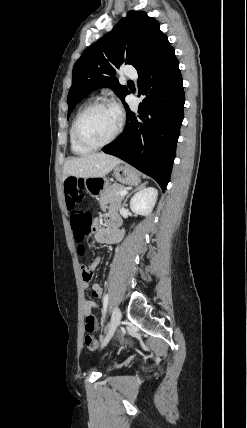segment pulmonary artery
Wrapping results in <instances>:
<instances>
[{
  "instance_id": "1",
  "label": "pulmonary artery",
  "mask_w": 247,
  "mask_h": 428,
  "mask_svg": "<svg viewBox=\"0 0 247 428\" xmlns=\"http://www.w3.org/2000/svg\"><path fill=\"white\" fill-rule=\"evenodd\" d=\"M123 73H124V75H126L127 77H130V78H136L137 77L136 70L131 66L124 67Z\"/></svg>"
}]
</instances>
